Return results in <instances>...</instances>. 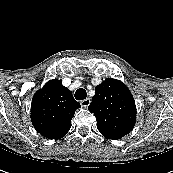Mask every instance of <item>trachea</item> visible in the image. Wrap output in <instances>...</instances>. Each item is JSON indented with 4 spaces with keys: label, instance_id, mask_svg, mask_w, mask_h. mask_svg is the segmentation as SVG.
Wrapping results in <instances>:
<instances>
[{
    "label": "trachea",
    "instance_id": "trachea-1",
    "mask_svg": "<svg viewBox=\"0 0 173 173\" xmlns=\"http://www.w3.org/2000/svg\"><path fill=\"white\" fill-rule=\"evenodd\" d=\"M74 96H75L76 100H84L87 97L86 90L83 88H79L76 90Z\"/></svg>",
    "mask_w": 173,
    "mask_h": 173
}]
</instances>
